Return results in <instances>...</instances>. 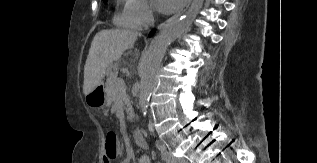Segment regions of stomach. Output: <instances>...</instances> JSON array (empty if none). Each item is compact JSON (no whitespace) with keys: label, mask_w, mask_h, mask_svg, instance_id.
Here are the masks:
<instances>
[{"label":"stomach","mask_w":317,"mask_h":163,"mask_svg":"<svg viewBox=\"0 0 317 163\" xmlns=\"http://www.w3.org/2000/svg\"><path fill=\"white\" fill-rule=\"evenodd\" d=\"M107 93L104 85H98L92 92L86 95V103L91 108L104 107L107 103Z\"/></svg>","instance_id":"0dacf381"}]
</instances>
